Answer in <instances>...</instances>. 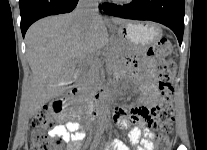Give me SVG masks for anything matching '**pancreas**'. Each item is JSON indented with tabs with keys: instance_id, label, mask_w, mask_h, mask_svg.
Masks as SVG:
<instances>
[{
	"instance_id": "obj_1",
	"label": "pancreas",
	"mask_w": 207,
	"mask_h": 150,
	"mask_svg": "<svg viewBox=\"0 0 207 150\" xmlns=\"http://www.w3.org/2000/svg\"><path fill=\"white\" fill-rule=\"evenodd\" d=\"M120 56L119 51L116 48H112L105 57V62L107 63L108 66H112L117 58ZM91 68L90 70L83 76V83L84 86L87 88H92L98 78H99V71H98V66L100 65L99 62H95V59L91 62Z\"/></svg>"
}]
</instances>
